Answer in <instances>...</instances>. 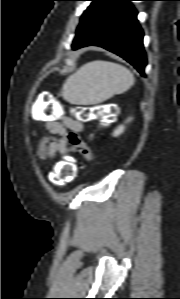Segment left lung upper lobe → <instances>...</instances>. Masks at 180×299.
Segmentation results:
<instances>
[{"label":"left lung upper lobe","instance_id":"5c2ea615","mask_svg":"<svg viewBox=\"0 0 180 299\" xmlns=\"http://www.w3.org/2000/svg\"><path fill=\"white\" fill-rule=\"evenodd\" d=\"M90 1H92V3H91V5H92V4L94 3L95 0H90ZM91 5H90V6H91ZM90 6H89V7H90ZM89 7H88V8H89ZM88 8H87V9H88ZM86 11H87V10H86ZM86 11H85V12H86ZM85 12H84V14H85ZM84 14H83V15H84ZM81 19H82V18H81Z\"/></svg>","mask_w":180,"mask_h":299}]
</instances>
